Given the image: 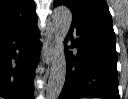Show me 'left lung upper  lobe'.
<instances>
[{
    "mask_svg": "<svg viewBox=\"0 0 128 99\" xmlns=\"http://www.w3.org/2000/svg\"><path fill=\"white\" fill-rule=\"evenodd\" d=\"M66 5L73 15V23L94 25L113 30L106 0H54V6Z\"/></svg>",
    "mask_w": 128,
    "mask_h": 99,
    "instance_id": "left-lung-upper-lobe-1",
    "label": "left lung upper lobe"
}]
</instances>
